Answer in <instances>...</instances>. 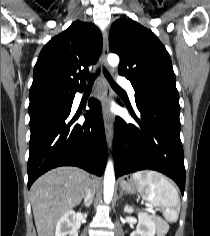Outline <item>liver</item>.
Segmentation results:
<instances>
[{"mask_svg":"<svg viewBox=\"0 0 210 236\" xmlns=\"http://www.w3.org/2000/svg\"><path fill=\"white\" fill-rule=\"evenodd\" d=\"M90 184L89 174L76 167H59L39 177L30 190L38 236H54L59 218L81 202Z\"/></svg>","mask_w":210,"mask_h":236,"instance_id":"obj_1","label":"liver"}]
</instances>
